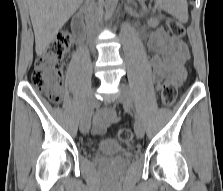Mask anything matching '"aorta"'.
<instances>
[{
	"label": "aorta",
	"mask_w": 223,
	"mask_h": 191,
	"mask_svg": "<svg viewBox=\"0 0 223 191\" xmlns=\"http://www.w3.org/2000/svg\"><path fill=\"white\" fill-rule=\"evenodd\" d=\"M117 3H118V0H106V4H105L106 11L108 13H112L116 8Z\"/></svg>",
	"instance_id": "762f6f07"
}]
</instances>
